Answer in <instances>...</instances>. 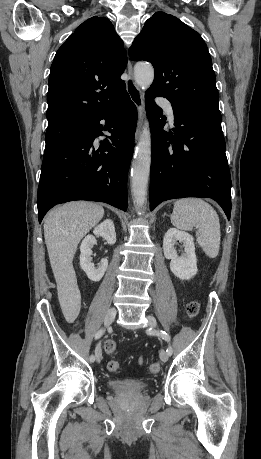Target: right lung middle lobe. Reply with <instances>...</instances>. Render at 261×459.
<instances>
[{
	"label": "right lung middle lobe",
	"mask_w": 261,
	"mask_h": 459,
	"mask_svg": "<svg viewBox=\"0 0 261 459\" xmlns=\"http://www.w3.org/2000/svg\"><path fill=\"white\" fill-rule=\"evenodd\" d=\"M87 125V122L64 121L48 126L46 132L45 153L50 152L77 135Z\"/></svg>",
	"instance_id": "1"
}]
</instances>
